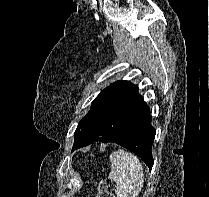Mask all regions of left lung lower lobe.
<instances>
[{
	"instance_id": "0a47b994",
	"label": "left lung lower lobe",
	"mask_w": 209,
	"mask_h": 197,
	"mask_svg": "<svg viewBox=\"0 0 209 197\" xmlns=\"http://www.w3.org/2000/svg\"><path fill=\"white\" fill-rule=\"evenodd\" d=\"M138 90V86L131 87L108 106L73 145L72 151L97 141L113 142L137 154L151 170L156 131L151 126L150 108Z\"/></svg>"
}]
</instances>
